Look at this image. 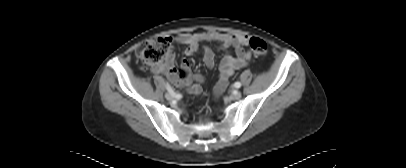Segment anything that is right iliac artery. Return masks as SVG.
Listing matches in <instances>:
<instances>
[{"mask_svg":"<svg viewBox=\"0 0 406 168\" xmlns=\"http://www.w3.org/2000/svg\"><path fill=\"white\" fill-rule=\"evenodd\" d=\"M166 88H167L168 92H169L171 95H173V96H175V97H178V96H179V94H176V93L174 92V90H173L172 87L169 85V83L166 84Z\"/></svg>","mask_w":406,"mask_h":168,"instance_id":"obj_1","label":"right iliac artery"}]
</instances>
